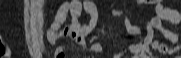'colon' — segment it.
Wrapping results in <instances>:
<instances>
[{"mask_svg": "<svg viewBox=\"0 0 181 58\" xmlns=\"http://www.w3.org/2000/svg\"><path fill=\"white\" fill-rule=\"evenodd\" d=\"M57 58H64V54H60L56 56Z\"/></svg>", "mask_w": 181, "mask_h": 58, "instance_id": "obj_1", "label": "colon"}]
</instances>
